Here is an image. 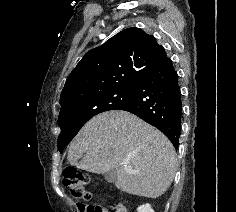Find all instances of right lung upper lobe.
Masks as SVG:
<instances>
[{"label": "right lung upper lobe", "instance_id": "1", "mask_svg": "<svg viewBox=\"0 0 236 212\" xmlns=\"http://www.w3.org/2000/svg\"><path fill=\"white\" fill-rule=\"evenodd\" d=\"M165 55V49L152 35L136 27L124 29L85 54L65 82L60 105L116 88L137 86Z\"/></svg>", "mask_w": 236, "mask_h": 212}]
</instances>
